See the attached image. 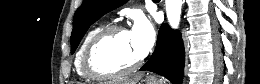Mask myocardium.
I'll use <instances>...</instances> for the list:
<instances>
[{"label": "myocardium", "mask_w": 260, "mask_h": 84, "mask_svg": "<svg viewBox=\"0 0 260 84\" xmlns=\"http://www.w3.org/2000/svg\"><path fill=\"white\" fill-rule=\"evenodd\" d=\"M122 32H128V30L121 25H108L100 29L90 40L86 47L82 64L83 71L88 78L96 80L114 79L132 73L142 65L144 56L140 57L131 66L122 69L102 70L96 66L95 55L101 43Z\"/></svg>", "instance_id": "f54148a6"}]
</instances>
